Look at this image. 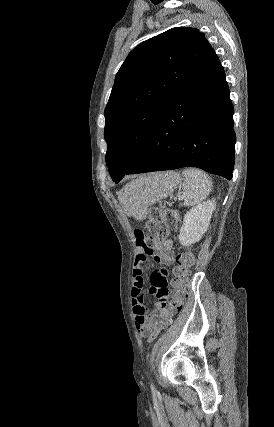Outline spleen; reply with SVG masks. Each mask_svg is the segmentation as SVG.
I'll list each match as a JSON object with an SVG mask.
<instances>
[{
	"instance_id": "1",
	"label": "spleen",
	"mask_w": 274,
	"mask_h": 427,
	"mask_svg": "<svg viewBox=\"0 0 274 427\" xmlns=\"http://www.w3.org/2000/svg\"><path fill=\"white\" fill-rule=\"evenodd\" d=\"M184 176V182L182 184V194L184 198L183 206H196L201 204L203 200H206L212 190V182L201 170H195V168H188L182 172ZM139 186H149L148 182H141ZM152 196H149L151 200Z\"/></svg>"
}]
</instances>
